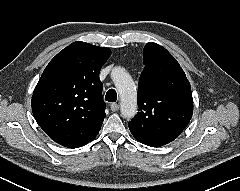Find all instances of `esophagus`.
<instances>
[{"instance_id": "esophagus-1", "label": "esophagus", "mask_w": 240, "mask_h": 191, "mask_svg": "<svg viewBox=\"0 0 240 191\" xmlns=\"http://www.w3.org/2000/svg\"><path fill=\"white\" fill-rule=\"evenodd\" d=\"M110 109H111L113 112H116V111L119 110V105H118L117 103H113V104H111Z\"/></svg>"}]
</instances>
